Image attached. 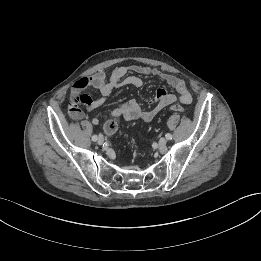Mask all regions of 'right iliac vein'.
Wrapping results in <instances>:
<instances>
[{
	"label": "right iliac vein",
	"mask_w": 261,
	"mask_h": 261,
	"mask_svg": "<svg viewBox=\"0 0 261 261\" xmlns=\"http://www.w3.org/2000/svg\"><path fill=\"white\" fill-rule=\"evenodd\" d=\"M97 143H98L99 145H102V144L104 143V137L100 135V136L97 138Z\"/></svg>",
	"instance_id": "1"
}]
</instances>
